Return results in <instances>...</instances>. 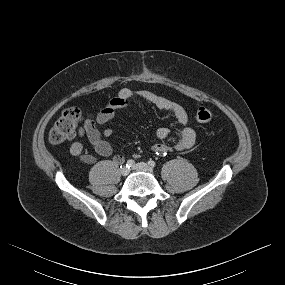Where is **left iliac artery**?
I'll return each instance as SVG.
<instances>
[{
  "mask_svg": "<svg viewBox=\"0 0 285 285\" xmlns=\"http://www.w3.org/2000/svg\"><path fill=\"white\" fill-rule=\"evenodd\" d=\"M148 164H149L151 167H155V166H156V163H155V161H153V160L148 161Z\"/></svg>",
  "mask_w": 285,
  "mask_h": 285,
  "instance_id": "44dca946",
  "label": "left iliac artery"
}]
</instances>
